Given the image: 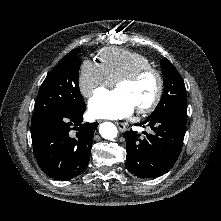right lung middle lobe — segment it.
Wrapping results in <instances>:
<instances>
[{"label": "right lung middle lobe", "instance_id": "obj_1", "mask_svg": "<svg viewBox=\"0 0 221 221\" xmlns=\"http://www.w3.org/2000/svg\"><path fill=\"white\" fill-rule=\"evenodd\" d=\"M78 49L68 53L47 75L40 86L31 121V131L53 115L79 111L85 107L79 90L81 58Z\"/></svg>", "mask_w": 221, "mask_h": 221}]
</instances>
